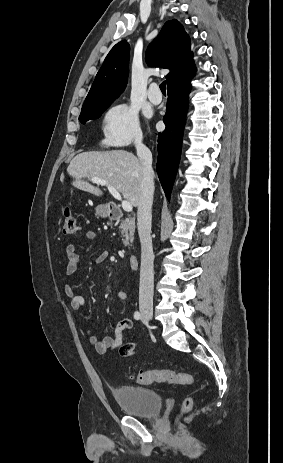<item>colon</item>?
<instances>
[{"label": "colon", "mask_w": 283, "mask_h": 463, "mask_svg": "<svg viewBox=\"0 0 283 463\" xmlns=\"http://www.w3.org/2000/svg\"><path fill=\"white\" fill-rule=\"evenodd\" d=\"M60 229L64 235H73L76 230V220L68 207H65L61 213ZM125 349H122L124 352ZM132 379L142 385L153 383H170V384H191L192 376L187 373H178L172 370H151L139 372L132 375ZM193 402L191 398H186L182 402L180 414L188 413L192 408Z\"/></svg>", "instance_id": "obj_1"}]
</instances>
